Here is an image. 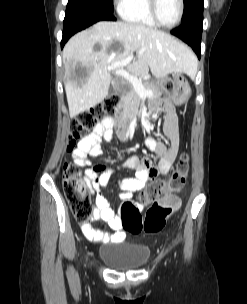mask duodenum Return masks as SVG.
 <instances>
[{
    "label": "duodenum",
    "instance_id": "1",
    "mask_svg": "<svg viewBox=\"0 0 247 304\" xmlns=\"http://www.w3.org/2000/svg\"><path fill=\"white\" fill-rule=\"evenodd\" d=\"M123 105L118 106V113L122 114L123 113ZM115 120L116 121V132L115 135L118 136V138H121V141H125L126 136H128V130L127 128L129 127L130 124H132V119L131 116H127L126 119H122V115H115ZM120 140V139H118Z\"/></svg>",
    "mask_w": 247,
    "mask_h": 304
}]
</instances>
